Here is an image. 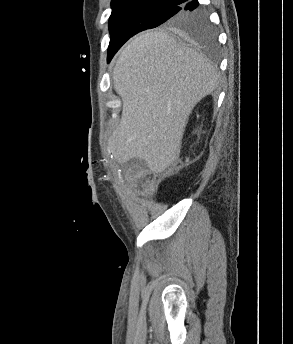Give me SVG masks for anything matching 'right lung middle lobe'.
<instances>
[{
  "label": "right lung middle lobe",
  "instance_id": "right-lung-middle-lobe-1",
  "mask_svg": "<svg viewBox=\"0 0 293 344\" xmlns=\"http://www.w3.org/2000/svg\"><path fill=\"white\" fill-rule=\"evenodd\" d=\"M108 59L133 35L168 24L184 38L206 48L215 46V33L202 11L184 12L181 6L161 2L111 4Z\"/></svg>",
  "mask_w": 293,
  "mask_h": 344
}]
</instances>
